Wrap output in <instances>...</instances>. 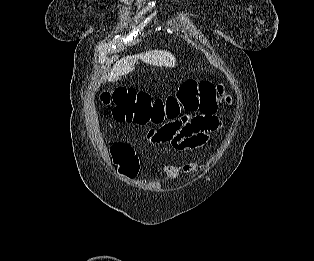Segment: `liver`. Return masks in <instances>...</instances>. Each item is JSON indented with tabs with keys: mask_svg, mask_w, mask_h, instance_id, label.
I'll use <instances>...</instances> for the list:
<instances>
[{
	"mask_svg": "<svg viewBox=\"0 0 314 261\" xmlns=\"http://www.w3.org/2000/svg\"><path fill=\"white\" fill-rule=\"evenodd\" d=\"M138 59L153 66L174 67L176 64V58L170 52L166 50H150L146 53L130 55L118 60L112 67L108 80L112 81L119 76L130 73Z\"/></svg>",
	"mask_w": 314,
	"mask_h": 261,
	"instance_id": "1",
	"label": "liver"
}]
</instances>
